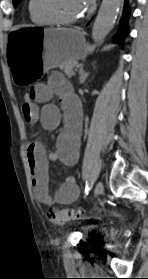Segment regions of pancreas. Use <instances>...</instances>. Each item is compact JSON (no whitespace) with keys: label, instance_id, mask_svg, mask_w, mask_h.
Returning a JSON list of instances; mask_svg holds the SVG:
<instances>
[{"label":"pancreas","instance_id":"obj_1","mask_svg":"<svg viewBox=\"0 0 148 279\" xmlns=\"http://www.w3.org/2000/svg\"><path fill=\"white\" fill-rule=\"evenodd\" d=\"M77 64V61H67L59 65V68L69 77H73L75 73L73 72L74 66Z\"/></svg>","mask_w":148,"mask_h":279}]
</instances>
